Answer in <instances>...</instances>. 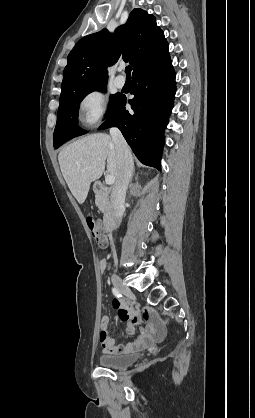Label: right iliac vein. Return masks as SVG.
<instances>
[{"instance_id":"obj_1","label":"right iliac vein","mask_w":255,"mask_h":418,"mask_svg":"<svg viewBox=\"0 0 255 418\" xmlns=\"http://www.w3.org/2000/svg\"><path fill=\"white\" fill-rule=\"evenodd\" d=\"M112 283L124 295L131 294V290L129 289V287L124 284V282L118 275L116 274L112 275Z\"/></svg>"}]
</instances>
